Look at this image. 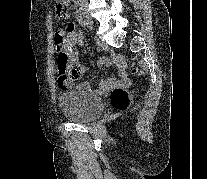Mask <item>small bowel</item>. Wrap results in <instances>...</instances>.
I'll return each mask as SVG.
<instances>
[{
  "label": "small bowel",
  "mask_w": 207,
  "mask_h": 179,
  "mask_svg": "<svg viewBox=\"0 0 207 179\" xmlns=\"http://www.w3.org/2000/svg\"><path fill=\"white\" fill-rule=\"evenodd\" d=\"M71 18L69 13L65 14L61 19L63 22H68ZM55 40H62L66 43V50L71 60L75 63L77 61V46H82L84 41L73 23L67 24V30L61 29L55 33ZM102 64H109V60L103 59ZM113 64L119 71V79H102L99 83L98 92L106 94L111 89L117 86L127 87L130 84V79L127 75L126 64L121 54H116L113 58ZM64 88H67L70 83H62Z\"/></svg>",
  "instance_id": "1"
}]
</instances>
